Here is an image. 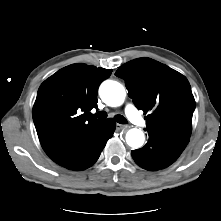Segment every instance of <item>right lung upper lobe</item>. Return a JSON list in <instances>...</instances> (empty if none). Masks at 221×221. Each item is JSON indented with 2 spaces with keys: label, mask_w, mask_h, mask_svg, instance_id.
Listing matches in <instances>:
<instances>
[{
  "label": "right lung upper lobe",
  "mask_w": 221,
  "mask_h": 221,
  "mask_svg": "<svg viewBox=\"0 0 221 221\" xmlns=\"http://www.w3.org/2000/svg\"><path fill=\"white\" fill-rule=\"evenodd\" d=\"M111 73L112 69L78 63L42 83L32 115L42 148L51 159L102 122L87 115L97 107L98 87Z\"/></svg>",
  "instance_id": "cb5924a9"
}]
</instances>
